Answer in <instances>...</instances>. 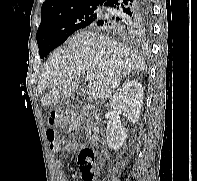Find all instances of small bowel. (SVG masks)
Wrapping results in <instances>:
<instances>
[{
    "instance_id": "obj_1",
    "label": "small bowel",
    "mask_w": 197,
    "mask_h": 181,
    "mask_svg": "<svg viewBox=\"0 0 197 181\" xmlns=\"http://www.w3.org/2000/svg\"><path fill=\"white\" fill-rule=\"evenodd\" d=\"M80 148H81V145L79 143L68 142L64 145L63 150L66 153H72V152L79 150ZM59 150H56L55 152H58ZM54 168H55L57 176L60 178V181H69V179L64 174L63 163L61 159H57L55 161Z\"/></svg>"
}]
</instances>
